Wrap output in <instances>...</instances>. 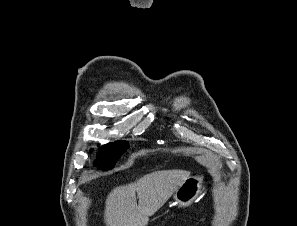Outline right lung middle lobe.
Instances as JSON below:
<instances>
[{"label": "right lung middle lobe", "mask_w": 297, "mask_h": 226, "mask_svg": "<svg viewBox=\"0 0 297 226\" xmlns=\"http://www.w3.org/2000/svg\"><path fill=\"white\" fill-rule=\"evenodd\" d=\"M128 147V143L125 141H116L103 145L99 149L94 165L102 170L112 169L116 161Z\"/></svg>", "instance_id": "dd1d6c3e"}]
</instances>
